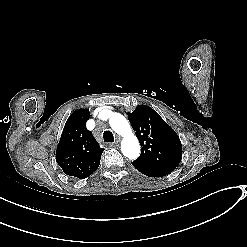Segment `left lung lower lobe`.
<instances>
[{"instance_id":"left-lung-lower-lobe-1","label":"left lung lower lobe","mask_w":247,"mask_h":247,"mask_svg":"<svg viewBox=\"0 0 247 247\" xmlns=\"http://www.w3.org/2000/svg\"><path fill=\"white\" fill-rule=\"evenodd\" d=\"M132 165L141 173H143L146 176L149 177H162L165 175H168L171 172L165 171L160 168H156L153 166H149L146 164H140V163H134L132 162Z\"/></svg>"}]
</instances>
